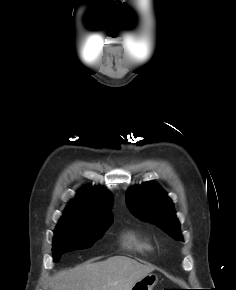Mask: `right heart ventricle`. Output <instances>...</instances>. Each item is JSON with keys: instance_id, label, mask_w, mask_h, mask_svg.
<instances>
[{"instance_id": "e07e8e85", "label": "right heart ventricle", "mask_w": 236, "mask_h": 290, "mask_svg": "<svg viewBox=\"0 0 236 290\" xmlns=\"http://www.w3.org/2000/svg\"><path fill=\"white\" fill-rule=\"evenodd\" d=\"M122 243L125 247L143 254L149 253L153 249L149 238L132 229L123 232Z\"/></svg>"}]
</instances>
